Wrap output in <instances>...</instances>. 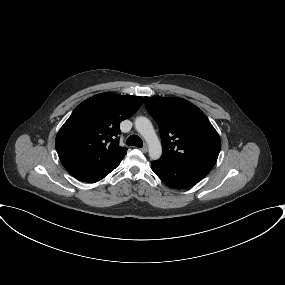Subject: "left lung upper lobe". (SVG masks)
<instances>
[{"instance_id":"1","label":"left lung upper lobe","mask_w":285,"mask_h":285,"mask_svg":"<svg viewBox=\"0 0 285 285\" xmlns=\"http://www.w3.org/2000/svg\"><path fill=\"white\" fill-rule=\"evenodd\" d=\"M144 102L160 129V159L209 173L221 141L206 115L182 98L145 97Z\"/></svg>"}]
</instances>
